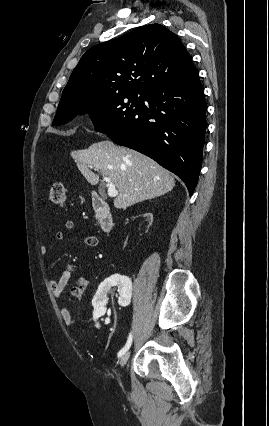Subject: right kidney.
<instances>
[{
    "label": "right kidney",
    "instance_id": "1",
    "mask_svg": "<svg viewBox=\"0 0 269 426\" xmlns=\"http://www.w3.org/2000/svg\"><path fill=\"white\" fill-rule=\"evenodd\" d=\"M145 221L142 223L141 228L144 231L149 230L150 225L153 224V215L151 213H145ZM115 286L119 292L118 308L120 310H127L133 301V293L131 288V282L128 280L126 273H121L119 276H111L105 280L98 288L97 293L92 301L94 306L93 319L96 320L102 316L106 311L107 295H111L113 292L112 287ZM99 327V324H96Z\"/></svg>",
    "mask_w": 269,
    "mask_h": 426
}]
</instances>
